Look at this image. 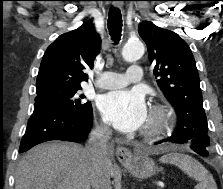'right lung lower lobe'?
<instances>
[{
  "mask_svg": "<svg viewBox=\"0 0 223 189\" xmlns=\"http://www.w3.org/2000/svg\"><path fill=\"white\" fill-rule=\"evenodd\" d=\"M92 124V109L80 114L68 108L35 104L19 152L50 140L82 142L87 139Z\"/></svg>",
  "mask_w": 223,
  "mask_h": 189,
  "instance_id": "1",
  "label": "right lung lower lobe"
}]
</instances>
